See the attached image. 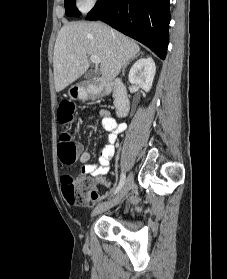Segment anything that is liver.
I'll return each mask as SVG.
<instances>
[{
	"label": "liver",
	"mask_w": 227,
	"mask_h": 279,
	"mask_svg": "<svg viewBox=\"0 0 227 279\" xmlns=\"http://www.w3.org/2000/svg\"><path fill=\"white\" fill-rule=\"evenodd\" d=\"M139 51L134 40L103 23H67L59 31L54 47L55 89L60 92L83 75L89 68V56L100 58L102 78L112 81Z\"/></svg>",
	"instance_id": "liver-1"
}]
</instances>
